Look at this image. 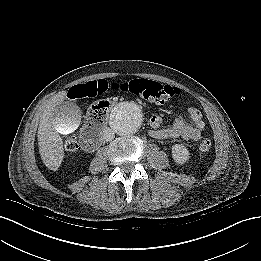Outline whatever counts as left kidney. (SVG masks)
Returning <instances> with one entry per match:
<instances>
[{"instance_id": "obj_1", "label": "left kidney", "mask_w": 261, "mask_h": 261, "mask_svg": "<svg viewBox=\"0 0 261 261\" xmlns=\"http://www.w3.org/2000/svg\"><path fill=\"white\" fill-rule=\"evenodd\" d=\"M172 158L177 164H184L190 158L188 149L183 144H175L172 146Z\"/></svg>"}]
</instances>
